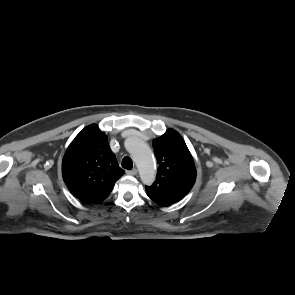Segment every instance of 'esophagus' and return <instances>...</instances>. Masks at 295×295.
<instances>
[{
	"instance_id": "1",
	"label": "esophagus",
	"mask_w": 295,
	"mask_h": 295,
	"mask_svg": "<svg viewBox=\"0 0 295 295\" xmlns=\"http://www.w3.org/2000/svg\"><path fill=\"white\" fill-rule=\"evenodd\" d=\"M137 169H132V170H128L126 173L128 174V175H136L137 174Z\"/></svg>"
}]
</instances>
